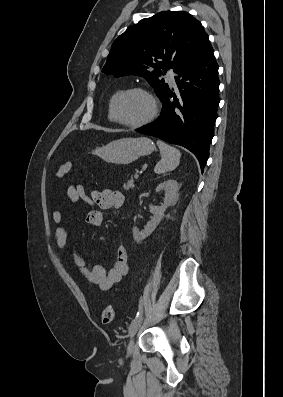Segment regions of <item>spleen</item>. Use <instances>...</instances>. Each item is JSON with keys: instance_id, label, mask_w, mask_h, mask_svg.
<instances>
[{"instance_id": "spleen-1", "label": "spleen", "mask_w": 283, "mask_h": 397, "mask_svg": "<svg viewBox=\"0 0 283 397\" xmlns=\"http://www.w3.org/2000/svg\"><path fill=\"white\" fill-rule=\"evenodd\" d=\"M157 145L160 150L161 160L156 164L154 172L162 174L174 170L180 163V151L161 140H157Z\"/></svg>"}]
</instances>
